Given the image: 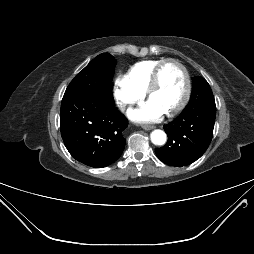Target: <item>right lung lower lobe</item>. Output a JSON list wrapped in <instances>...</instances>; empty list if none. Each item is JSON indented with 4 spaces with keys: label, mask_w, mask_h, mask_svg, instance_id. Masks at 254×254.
Segmentation results:
<instances>
[{
    "label": "right lung lower lobe",
    "mask_w": 254,
    "mask_h": 254,
    "mask_svg": "<svg viewBox=\"0 0 254 254\" xmlns=\"http://www.w3.org/2000/svg\"><path fill=\"white\" fill-rule=\"evenodd\" d=\"M126 117L114 100L94 101L80 95H64L60 129L64 144L77 161L94 168L115 162L125 147Z\"/></svg>",
    "instance_id": "obj_1"
}]
</instances>
